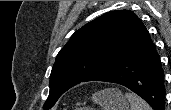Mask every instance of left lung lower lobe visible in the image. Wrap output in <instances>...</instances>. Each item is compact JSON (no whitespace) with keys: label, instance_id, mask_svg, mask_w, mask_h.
Returning a JSON list of instances; mask_svg holds the SVG:
<instances>
[{"label":"left lung lower lobe","instance_id":"left-lung-lower-lobe-1","mask_svg":"<svg viewBox=\"0 0 171 110\" xmlns=\"http://www.w3.org/2000/svg\"><path fill=\"white\" fill-rule=\"evenodd\" d=\"M93 81L123 85L142 97L154 110H165L164 73L149 35L117 65Z\"/></svg>","mask_w":171,"mask_h":110}]
</instances>
